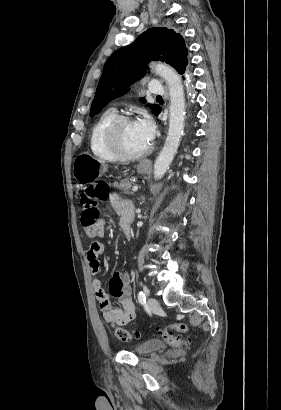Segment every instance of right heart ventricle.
<instances>
[{
  "label": "right heart ventricle",
  "mask_w": 281,
  "mask_h": 410,
  "mask_svg": "<svg viewBox=\"0 0 281 410\" xmlns=\"http://www.w3.org/2000/svg\"><path fill=\"white\" fill-rule=\"evenodd\" d=\"M117 117L113 109L104 111L93 124L89 135V147L92 154L104 161H117L120 158L109 148L106 142V131L112 121Z\"/></svg>",
  "instance_id": "1"
}]
</instances>
